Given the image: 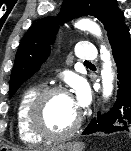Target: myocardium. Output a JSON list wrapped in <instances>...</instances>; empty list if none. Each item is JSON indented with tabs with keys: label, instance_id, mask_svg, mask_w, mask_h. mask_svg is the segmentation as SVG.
<instances>
[{
	"label": "myocardium",
	"instance_id": "f54148a6",
	"mask_svg": "<svg viewBox=\"0 0 131 151\" xmlns=\"http://www.w3.org/2000/svg\"><path fill=\"white\" fill-rule=\"evenodd\" d=\"M56 94H67L68 90L63 86H49L42 89L34 98L28 115L30 129L34 134L42 139L59 141L64 140L74 135L80 128L82 123V115L79 114L74 124L64 132L54 133L50 132L44 124V111L47 101L50 97Z\"/></svg>",
	"mask_w": 131,
	"mask_h": 151
}]
</instances>
